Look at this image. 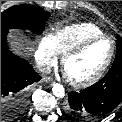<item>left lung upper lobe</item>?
Returning <instances> with one entry per match:
<instances>
[{
    "instance_id": "5c2ea615",
    "label": "left lung upper lobe",
    "mask_w": 122,
    "mask_h": 122,
    "mask_svg": "<svg viewBox=\"0 0 122 122\" xmlns=\"http://www.w3.org/2000/svg\"><path fill=\"white\" fill-rule=\"evenodd\" d=\"M118 64H122V40L119 36H117L116 57L112 66Z\"/></svg>"
}]
</instances>
